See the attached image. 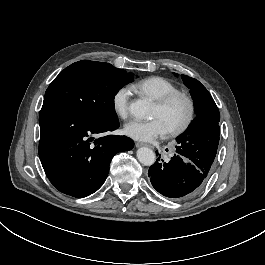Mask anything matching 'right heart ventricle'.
Returning a JSON list of instances; mask_svg holds the SVG:
<instances>
[{"mask_svg":"<svg viewBox=\"0 0 265 265\" xmlns=\"http://www.w3.org/2000/svg\"><path fill=\"white\" fill-rule=\"evenodd\" d=\"M130 88L155 102L172 92L178 91L174 83L162 76H149L137 79L130 84Z\"/></svg>","mask_w":265,"mask_h":265,"instance_id":"e07e8e85","label":"right heart ventricle"}]
</instances>
